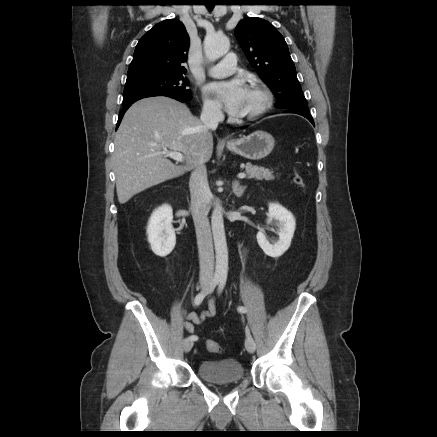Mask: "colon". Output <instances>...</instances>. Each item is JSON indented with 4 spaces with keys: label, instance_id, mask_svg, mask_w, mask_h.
<instances>
[{
    "label": "colon",
    "instance_id": "colon-1",
    "mask_svg": "<svg viewBox=\"0 0 437 437\" xmlns=\"http://www.w3.org/2000/svg\"><path fill=\"white\" fill-rule=\"evenodd\" d=\"M293 181L298 187H300L302 189L305 188L304 180L298 172L294 173ZM206 349L210 353H219L221 351V347H220L219 343L214 341V340L206 341Z\"/></svg>",
    "mask_w": 437,
    "mask_h": 437
}]
</instances>
